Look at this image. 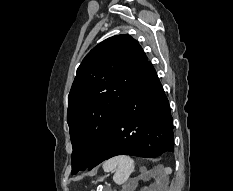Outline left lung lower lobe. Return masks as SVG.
Returning <instances> with one entry per match:
<instances>
[{
  "instance_id": "0a47b994",
  "label": "left lung lower lobe",
  "mask_w": 233,
  "mask_h": 191,
  "mask_svg": "<svg viewBox=\"0 0 233 191\" xmlns=\"http://www.w3.org/2000/svg\"><path fill=\"white\" fill-rule=\"evenodd\" d=\"M171 152L174 140L169 102L153 65L147 61L87 168L91 170L117 155L154 158Z\"/></svg>"
}]
</instances>
